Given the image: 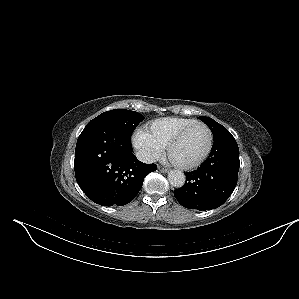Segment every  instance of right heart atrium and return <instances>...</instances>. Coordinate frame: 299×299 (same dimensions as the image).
<instances>
[{
    "label": "right heart atrium",
    "mask_w": 299,
    "mask_h": 299,
    "mask_svg": "<svg viewBox=\"0 0 299 299\" xmlns=\"http://www.w3.org/2000/svg\"><path fill=\"white\" fill-rule=\"evenodd\" d=\"M133 147L138 151L140 158L145 162H151L158 158L163 146L158 143L145 129L137 130L131 138Z\"/></svg>",
    "instance_id": "right-heart-atrium-1"
}]
</instances>
